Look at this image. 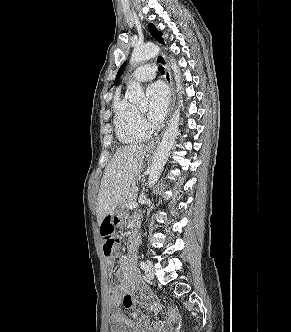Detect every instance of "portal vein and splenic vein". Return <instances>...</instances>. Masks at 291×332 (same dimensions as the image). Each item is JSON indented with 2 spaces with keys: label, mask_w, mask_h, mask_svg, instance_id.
Instances as JSON below:
<instances>
[{
  "label": "portal vein and splenic vein",
  "mask_w": 291,
  "mask_h": 332,
  "mask_svg": "<svg viewBox=\"0 0 291 332\" xmlns=\"http://www.w3.org/2000/svg\"><path fill=\"white\" fill-rule=\"evenodd\" d=\"M138 204L136 203V202H132V203H130L129 204V208H134V207H136Z\"/></svg>",
  "instance_id": "1"
}]
</instances>
